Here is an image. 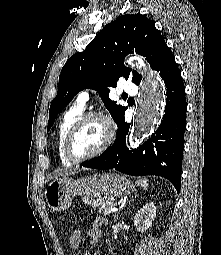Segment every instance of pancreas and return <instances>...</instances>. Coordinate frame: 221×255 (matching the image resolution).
<instances>
[{"label":"pancreas","mask_w":221,"mask_h":255,"mask_svg":"<svg viewBox=\"0 0 221 255\" xmlns=\"http://www.w3.org/2000/svg\"><path fill=\"white\" fill-rule=\"evenodd\" d=\"M89 204L95 209L98 210L99 213L103 215L111 214V208L116 205V202L113 198L109 196L97 197L89 202Z\"/></svg>","instance_id":"pancreas-1"}]
</instances>
